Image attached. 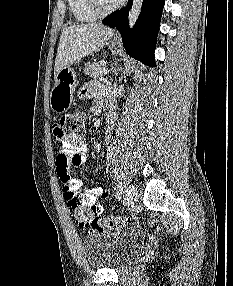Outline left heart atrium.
I'll return each mask as SVG.
<instances>
[{
  "instance_id": "39dd6f15",
  "label": "left heart atrium",
  "mask_w": 233,
  "mask_h": 286,
  "mask_svg": "<svg viewBox=\"0 0 233 286\" xmlns=\"http://www.w3.org/2000/svg\"><path fill=\"white\" fill-rule=\"evenodd\" d=\"M122 0H116V2H121Z\"/></svg>"
}]
</instances>
